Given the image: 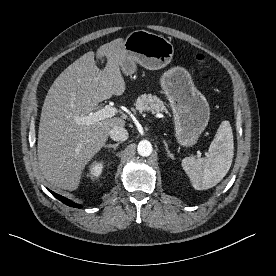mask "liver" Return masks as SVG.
Returning a JSON list of instances; mask_svg holds the SVG:
<instances>
[{
  "instance_id": "1",
  "label": "liver",
  "mask_w": 276,
  "mask_h": 276,
  "mask_svg": "<svg viewBox=\"0 0 276 276\" xmlns=\"http://www.w3.org/2000/svg\"><path fill=\"white\" fill-rule=\"evenodd\" d=\"M123 43V38H117L97 49V58H107L103 70L97 67L93 51L82 55L55 79L46 95L37 155L44 178L56 187L76 190L85 166L105 145L110 130L125 126L120 117L91 125L76 121V117L93 112L100 102L125 92L120 72Z\"/></svg>"
}]
</instances>
